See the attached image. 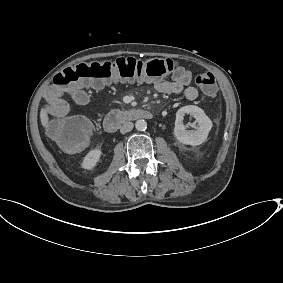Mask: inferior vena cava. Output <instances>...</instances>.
Here are the masks:
<instances>
[{
	"mask_svg": "<svg viewBox=\"0 0 283 283\" xmlns=\"http://www.w3.org/2000/svg\"><path fill=\"white\" fill-rule=\"evenodd\" d=\"M133 127H134V125H133L132 122H125V123H123V124L121 125V127H120V132H121L122 134H125V133H127V132L132 131Z\"/></svg>",
	"mask_w": 283,
	"mask_h": 283,
	"instance_id": "1",
	"label": "inferior vena cava"
}]
</instances>
